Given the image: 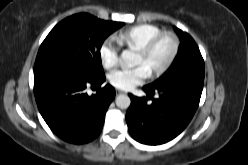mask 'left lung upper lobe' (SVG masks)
Listing matches in <instances>:
<instances>
[{"mask_svg":"<svg viewBox=\"0 0 248 165\" xmlns=\"http://www.w3.org/2000/svg\"><path fill=\"white\" fill-rule=\"evenodd\" d=\"M181 39L179 52L170 68L155 82L146 87L156 88L169 83L182 84L187 81H204V60L193 38L174 27Z\"/></svg>","mask_w":248,"mask_h":165,"instance_id":"1","label":"left lung upper lobe"}]
</instances>
